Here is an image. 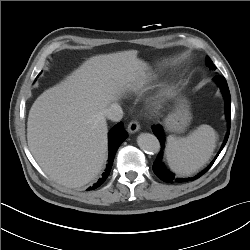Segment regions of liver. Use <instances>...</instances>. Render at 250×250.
I'll return each instance as SVG.
<instances>
[{"mask_svg": "<svg viewBox=\"0 0 250 250\" xmlns=\"http://www.w3.org/2000/svg\"><path fill=\"white\" fill-rule=\"evenodd\" d=\"M146 70L137 50L93 56L35 100L28 146L52 180L77 188L97 177L108 148L104 110L126 89L140 87Z\"/></svg>", "mask_w": 250, "mask_h": 250, "instance_id": "6515ba94", "label": "liver"}]
</instances>
